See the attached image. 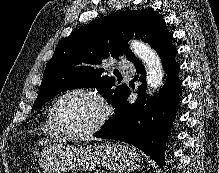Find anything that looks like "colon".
<instances>
[{
	"label": "colon",
	"instance_id": "1",
	"mask_svg": "<svg viewBox=\"0 0 219 173\" xmlns=\"http://www.w3.org/2000/svg\"><path fill=\"white\" fill-rule=\"evenodd\" d=\"M26 173H39L37 169L31 168Z\"/></svg>",
	"mask_w": 219,
	"mask_h": 173
}]
</instances>
